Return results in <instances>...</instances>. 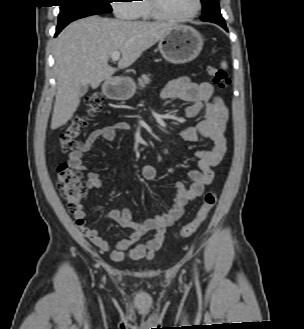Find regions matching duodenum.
Wrapping results in <instances>:
<instances>
[{"label":"duodenum","mask_w":304,"mask_h":329,"mask_svg":"<svg viewBox=\"0 0 304 329\" xmlns=\"http://www.w3.org/2000/svg\"><path fill=\"white\" fill-rule=\"evenodd\" d=\"M112 87H113L112 83H107V84L105 85V88H104V89H105V92H106V93H110Z\"/></svg>","instance_id":"obj_1"}]
</instances>
